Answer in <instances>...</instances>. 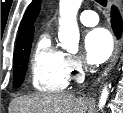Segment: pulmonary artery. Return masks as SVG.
I'll use <instances>...</instances> for the list:
<instances>
[{"mask_svg":"<svg viewBox=\"0 0 123 113\" xmlns=\"http://www.w3.org/2000/svg\"><path fill=\"white\" fill-rule=\"evenodd\" d=\"M79 20L83 25L91 27L98 23L99 18L96 12L92 10H84L80 13Z\"/></svg>","mask_w":123,"mask_h":113,"instance_id":"e3ab8cb5","label":"pulmonary artery"}]
</instances>
